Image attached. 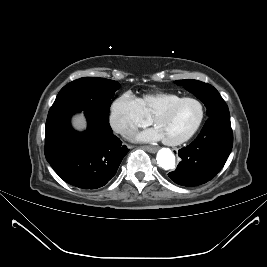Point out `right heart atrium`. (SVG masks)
Instances as JSON below:
<instances>
[{
	"mask_svg": "<svg viewBox=\"0 0 267 267\" xmlns=\"http://www.w3.org/2000/svg\"><path fill=\"white\" fill-rule=\"evenodd\" d=\"M109 122L116 133L129 137L138 128L148 125L150 117L142 110L138 98L130 92H124L112 101Z\"/></svg>",
	"mask_w": 267,
	"mask_h": 267,
	"instance_id": "d8ad5b80",
	"label": "right heart atrium"
}]
</instances>
